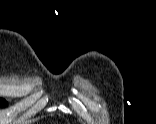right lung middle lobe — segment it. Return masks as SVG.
Wrapping results in <instances>:
<instances>
[{"label":"right lung middle lobe","instance_id":"1","mask_svg":"<svg viewBox=\"0 0 156 124\" xmlns=\"http://www.w3.org/2000/svg\"><path fill=\"white\" fill-rule=\"evenodd\" d=\"M7 103H6V101L5 100H3V99H0V106L2 107V106H5Z\"/></svg>","mask_w":156,"mask_h":124}]
</instances>
